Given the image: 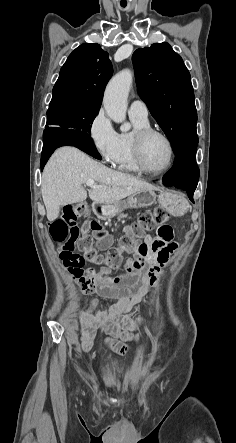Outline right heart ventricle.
Segmentation results:
<instances>
[{"mask_svg": "<svg viewBox=\"0 0 236 443\" xmlns=\"http://www.w3.org/2000/svg\"><path fill=\"white\" fill-rule=\"evenodd\" d=\"M131 120L134 124V130L119 134L120 154L115 164L122 171L136 173L140 172V170L134 161L133 135L139 128L149 126V121L148 119L143 120L135 117H131Z\"/></svg>", "mask_w": 236, "mask_h": 443, "instance_id": "e07e8e85", "label": "right heart ventricle"}]
</instances>
